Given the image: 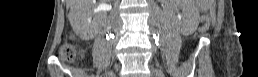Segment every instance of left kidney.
Returning <instances> with one entry per match:
<instances>
[{"instance_id": "5707ae66", "label": "left kidney", "mask_w": 258, "mask_h": 77, "mask_svg": "<svg viewBox=\"0 0 258 77\" xmlns=\"http://www.w3.org/2000/svg\"><path fill=\"white\" fill-rule=\"evenodd\" d=\"M181 23L182 24H187V23L193 24L194 23L193 11H191V9L189 7L184 8Z\"/></svg>"}]
</instances>
